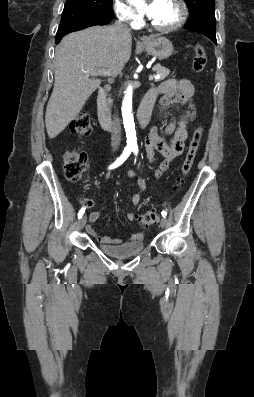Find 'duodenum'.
<instances>
[{
  "instance_id": "410a0bca",
  "label": "duodenum",
  "mask_w": 254,
  "mask_h": 397,
  "mask_svg": "<svg viewBox=\"0 0 254 397\" xmlns=\"http://www.w3.org/2000/svg\"><path fill=\"white\" fill-rule=\"evenodd\" d=\"M153 105L154 99L147 93L144 96L137 113L141 127H145L148 124ZM97 114L101 127L105 130H111L113 128V121L107 106L106 92L103 88H100L97 94Z\"/></svg>"
}]
</instances>
